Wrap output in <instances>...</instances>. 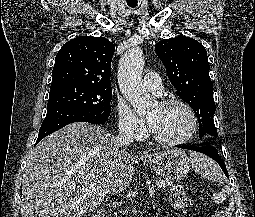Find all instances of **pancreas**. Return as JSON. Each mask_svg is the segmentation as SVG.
Listing matches in <instances>:
<instances>
[{
	"instance_id": "obj_1",
	"label": "pancreas",
	"mask_w": 255,
	"mask_h": 217,
	"mask_svg": "<svg viewBox=\"0 0 255 217\" xmlns=\"http://www.w3.org/2000/svg\"><path fill=\"white\" fill-rule=\"evenodd\" d=\"M155 184L157 186V189L159 190V189H164L167 186H170L172 182L169 180H156Z\"/></svg>"
}]
</instances>
